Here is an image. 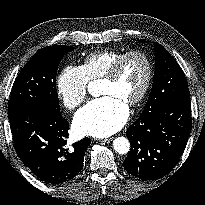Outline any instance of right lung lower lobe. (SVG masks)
Here are the masks:
<instances>
[{"instance_id": "obj_1", "label": "right lung lower lobe", "mask_w": 205, "mask_h": 205, "mask_svg": "<svg viewBox=\"0 0 205 205\" xmlns=\"http://www.w3.org/2000/svg\"><path fill=\"white\" fill-rule=\"evenodd\" d=\"M16 153L41 181L58 185L73 179L83 168L89 138L67 147L69 123L62 115L38 107H8Z\"/></svg>"}]
</instances>
